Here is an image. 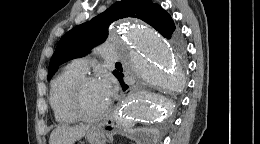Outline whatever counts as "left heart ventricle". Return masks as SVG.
<instances>
[{
    "mask_svg": "<svg viewBox=\"0 0 260 144\" xmlns=\"http://www.w3.org/2000/svg\"><path fill=\"white\" fill-rule=\"evenodd\" d=\"M108 102L103 96L99 82L87 84L81 94L80 106L89 115H94L103 110Z\"/></svg>",
    "mask_w": 260,
    "mask_h": 144,
    "instance_id": "left-heart-ventricle-1",
    "label": "left heart ventricle"
}]
</instances>
